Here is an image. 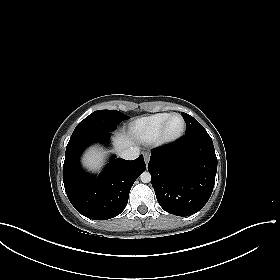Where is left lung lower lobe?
Wrapping results in <instances>:
<instances>
[{"mask_svg":"<svg viewBox=\"0 0 280 280\" xmlns=\"http://www.w3.org/2000/svg\"><path fill=\"white\" fill-rule=\"evenodd\" d=\"M148 170L157 201L168 213L189 216L209 200L217 171L211 137L185 135L151 151Z\"/></svg>","mask_w":280,"mask_h":280,"instance_id":"left-lung-lower-lobe-1","label":"left lung lower lobe"}]
</instances>
